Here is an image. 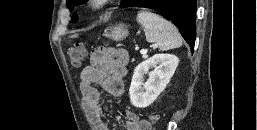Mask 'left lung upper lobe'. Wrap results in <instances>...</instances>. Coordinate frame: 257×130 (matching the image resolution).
<instances>
[{
	"label": "left lung upper lobe",
	"mask_w": 257,
	"mask_h": 130,
	"mask_svg": "<svg viewBox=\"0 0 257 130\" xmlns=\"http://www.w3.org/2000/svg\"><path fill=\"white\" fill-rule=\"evenodd\" d=\"M85 0H67L66 4L67 7L72 10L74 8V6L84 2ZM138 0H122L121 5H128V4H133L135 5L137 3ZM78 19L77 14L74 13L72 16V22H76Z\"/></svg>",
	"instance_id": "5c2ea615"
}]
</instances>
